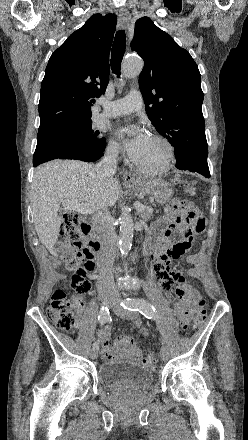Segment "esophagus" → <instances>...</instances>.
Segmentation results:
<instances>
[{"mask_svg": "<svg viewBox=\"0 0 248 440\" xmlns=\"http://www.w3.org/2000/svg\"><path fill=\"white\" fill-rule=\"evenodd\" d=\"M129 12L126 9H120L119 11V21L120 27L122 29H126L129 23ZM123 179L125 180H133L134 176L129 171H122Z\"/></svg>", "mask_w": 248, "mask_h": 440, "instance_id": "obj_1", "label": "esophagus"}]
</instances>
